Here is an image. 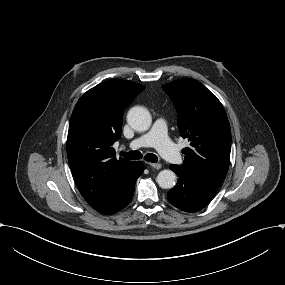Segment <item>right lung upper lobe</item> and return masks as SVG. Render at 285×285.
<instances>
[{
  "mask_svg": "<svg viewBox=\"0 0 285 285\" xmlns=\"http://www.w3.org/2000/svg\"><path fill=\"white\" fill-rule=\"evenodd\" d=\"M145 86L120 79L103 82L78 100L70 119L67 156L76 185L91 207L103 206L134 162L114 157L123 111Z\"/></svg>",
  "mask_w": 285,
  "mask_h": 285,
  "instance_id": "right-lung-upper-lobe-1",
  "label": "right lung upper lobe"
}]
</instances>
